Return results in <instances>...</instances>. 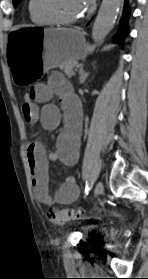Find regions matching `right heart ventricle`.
<instances>
[{"instance_id":"1","label":"right heart ventricle","mask_w":148,"mask_h":279,"mask_svg":"<svg viewBox=\"0 0 148 279\" xmlns=\"http://www.w3.org/2000/svg\"><path fill=\"white\" fill-rule=\"evenodd\" d=\"M28 11H29V14H30V19L34 24L40 25V26L51 24V22H49L48 20L40 17L39 15H37L35 13V11L33 9V0H29Z\"/></svg>"}]
</instances>
